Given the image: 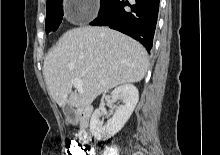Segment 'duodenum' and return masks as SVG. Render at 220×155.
Instances as JSON below:
<instances>
[{"label": "duodenum", "mask_w": 220, "mask_h": 155, "mask_svg": "<svg viewBox=\"0 0 220 155\" xmlns=\"http://www.w3.org/2000/svg\"><path fill=\"white\" fill-rule=\"evenodd\" d=\"M92 111L93 109L90 106H81L76 109L75 113L81 120H88ZM79 138L82 143H88L91 140L90 132L87 129L82 130Z\"/></svg>", "instance_id": "410a0bca"}]
</instances>
